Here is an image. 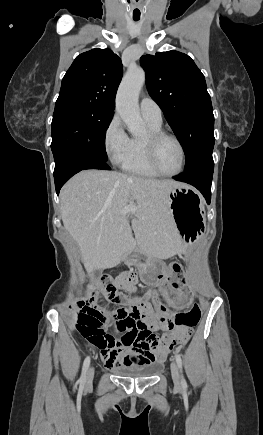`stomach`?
Masks as SVG:
<instances>
[{"mask_svg": "<svg viewBox=\"0 0 263 435\" xmlns=\"http://www.w3.org/2000/svg\"><path fill=\"white\" fill-rule=\"evenodd\" d=\"M168 204L171 219L174 221V233L185 238L184 245L192 246L201 233L206 232L208 216H203V204L199 193L183 184L169 192ZM125 262L141 268L143 282H149L151 288H157L158 296L166 310H186L191 293L186 285L184 274L187 270L186 260H173L167 264L143 251L129 254Z\"/></svg>", "mask_w": 263, "mask_h": 435, "instance_id": "stomach-1", "label": "stomach"}]
</instances>
